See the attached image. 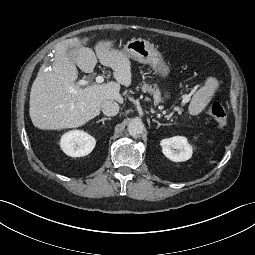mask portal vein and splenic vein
Returning <instances> with one entry per match:
<instances>
[{"instance_id": "obj_1", "label": "portal vein and splenic vein", "mask_w": 255, "mask_h": 255, "mask_svg": "<svg viewBox=\"0 0 255 255\" xmlns=\"http://www.w3.org/2000/svg\"><path fill=\"white\" fill-rule=\"evenodd\" d=\"M95 80H96L97 83H102L104 81V77L103 76H97ZM88 84H90V81H88V80H80L78 82L79 86H85V85H88Z\"/></svg>"}]
</instances>
